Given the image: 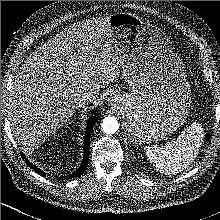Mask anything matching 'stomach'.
Instances as JSON below:
<instances>
[{"mask_svg":"<svg viewBox=\"0 0 220 220\" xmlns=\"http://www.w3.org/2000/svg\"><path fill=\"white\" fill-rule=\"evenodd\" d=\"M109 26L131 90L120 98L117 109L125 114L134 143L156 142L176 131L189 113L191 90L184 65L170 50L165 33L140 17L116 13Z\"/></svg>","mask_w":220,"mask_h":220,"instance_id":"1","label":"stomach"}]
</instances>
